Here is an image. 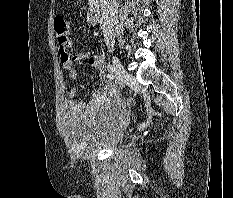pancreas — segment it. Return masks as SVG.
Segmentation results:
<instances>
[{
  "label": "pancreas",
  "mask_w": 233,
  "mask_h": 198,
  "mask_svg": "<svg viewBox=\"0 0 233 198\" xmlns=\"http://www.w3.org/2000/svg\"><path fill=\"white\" fill-rule=\"evenodd\" d=\"M98 0H88V4L92 5V4H97Z\"/></svg>",
  "instance_id": "pancreas-1"
}]
</instances>
